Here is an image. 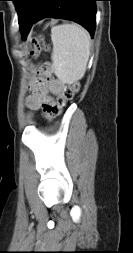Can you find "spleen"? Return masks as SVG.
Listing matches in <instances>:
<instances>
[{"mask_svg":"<svg viewBox=\"0 0 133 253\" xmlns=\"http://www.w3.org/2000/svg\"><path fill=\"white\" fill-rule=\"evenodd\" d=\"M53 71L63 83H73L83 78L90 56V35L77 24L52 27Z\"/></svg>","mask_w":133,"mask_h":253,"instance_id":"3e777b00","label":"spleen"}]
</instances>
